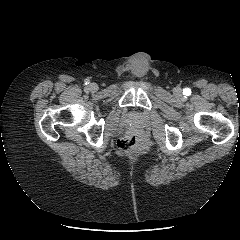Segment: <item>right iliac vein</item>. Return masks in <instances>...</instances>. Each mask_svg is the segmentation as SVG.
Here are the masks:
<instances>
[{
	"instance_id": "63e3f726",
	"label": "right iliac vein",
	"mask_w": 240,
	"mask_h": 240,
	"mask_svg": "<svg viewBox=\"0 0 240 240\" xmlns=\"http://www.w3.org/2000/svg\"><path fill=\"white\" fill-rule=\"evenodd\" d=\"M89 89H90L91 91H97V90H98V85L95 84V83H91V84L89 85Z\"/></svg>"
}]
</instances>
